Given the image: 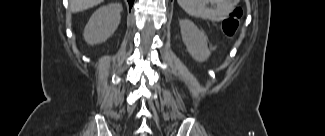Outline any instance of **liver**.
<instances>
[{
	"instance_id": "1",
	"label": "liver",
	"mask_w": 325,
	"mask_h": 136,
	"mask_svg": "<svg viewBox=\"0 0 325 136\" xmlns=\"http://www.w3.org/2000/svg\"><path fill=\"white\" fill-rule=\"evenodd\" d=\"M103 2V0H70V10L73 13L80 12L96 6Z\"/></svg>"
}]
</instances>
